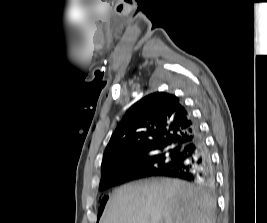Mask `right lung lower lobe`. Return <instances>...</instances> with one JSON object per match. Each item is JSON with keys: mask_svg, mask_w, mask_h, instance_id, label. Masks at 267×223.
Listing matches in <instances>:
<instances>
[{"mask_svg": "<svg viewBox=\"0 0 267 223\" xmlns=\"http://www.w3.org/2000/svg\"><path fill=\"white\" fill-rule=\"evenodd\" d=\"M196 132V137L180 150L176 162L170 168L151 176L178 178L205 188H212L214 186V173L211 157L198 128H196ZM145 177L149 176L138 173L118 174L108 178L102 189Z\"/></svg>", "mask_w": 267, "mask_h": 223, "instance_id": "1", "label": "right lung lower lobe"}]
</instances>
